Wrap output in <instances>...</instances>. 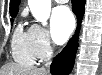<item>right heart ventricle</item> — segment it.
Listing matches in <instances>:
<instances>
[{"label":"right heart ventricle","mask_w":102,"mask_h":75,"mask_svg":"<svg viewBox=\"0 0 102 75\" xmlns=\"http://www.w3.org/2000/svg\"><path fill=\"white\" fill-rule=\"evenodd\" d=\"M11 49L15 61L29 65L35 63L36 56L32 46L30 31L25 30L21 23L18 24L13 34Z\"/></svg>","instance_id":"obj_1"}]
</instances>
